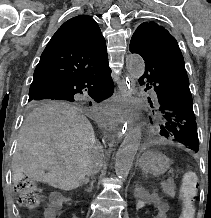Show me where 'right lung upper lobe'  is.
<instances>
[{"mask_svg":"<svg viewBox=\"0 0 211 218\" xmlns=\"http://www.w3.org/2000/svg\"><path fill=\"white\" fill-rule=\"evenodd\" d=\"M107 61L105 39L96 21L88 15L73 17L56 31L44 49L34 71L29 100L45 98L41 95L50 88L82 77Z\"/></svg>","mask_w":211,"mask_h":218,"instance_id":"obj_1","label":"right lung upper lobe"}]
</instances>
